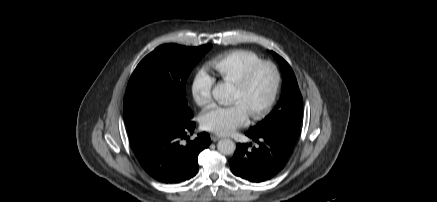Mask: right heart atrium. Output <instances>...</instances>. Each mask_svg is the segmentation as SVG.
I'll return each instance as SVG.
<instances>
[{"label": "right heart atrium", "mask_w": 437, "mask_h": 202, "mask_svg": "<svg viewBox=\"0 0 437 202\" xmlns=\"http://www.w3.org/2000/svg\"><path fill=\"white\" fill-rule=\"evenodd\" d=\"M215 79L205 68H199L191 82V94L195 103L206 107L212 102V89Z\"/></svg>", "instance_id": "d8ad5b80"}]
</instances>
